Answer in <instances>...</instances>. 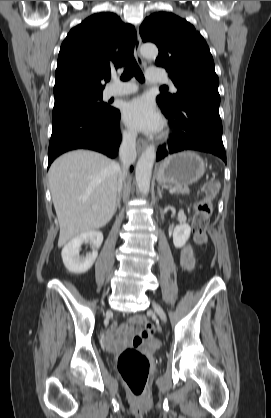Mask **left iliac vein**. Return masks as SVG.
Wrapping results in <instances>:
<instances>
[{
	"label": "left iliac vein",
	"instance_id": "4c4485c4",
	"mask_svg": "<svg viewBox=\"0 0 271 418\" xmlns=\"http://www.w3.org/2000/svg\"><path fill=\"white\" fill-rule=\"evenodd\" d=\"M152 306H153L154 311L161 318V320L166 322L167 317H166V314H165L164 310L162 309V307L158 303H156L155 301L152 302Z\"/></svg>",
	"mask_w": 271,
	"mask_h": 418
}]
</instances>
